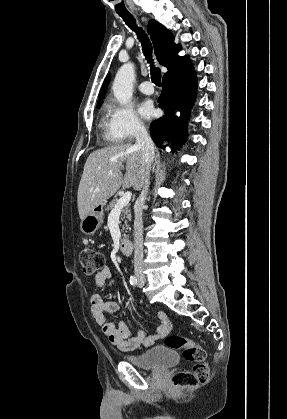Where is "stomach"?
I'll use <instances>...</instances> for the list:
<instances>
[{
	"label": "stomach",
	"mask_w": 287,
	"mask_h": 419,
	"mask_svg": "<svg viewBox=\"0 0 287 419\" xmlns=\"http://www.w3.org/2000/svg\"><path fill=\"white\" fill-rule=\"evenodd\" d=\"M104 214V205L95 207L80 223L81 231L86 235H93L100 227Z\"/></svg>",
	"instance_id": "stomach-1"
}]
</instances>
